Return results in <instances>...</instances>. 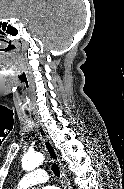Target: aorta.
Here are the masks:
<instances>
[{"mask_svg":"<svg viewBox=\"0 0 124 189\" xmlns=\"http://www.w3.org/2000/svg\"><path fill=\"white\" fill-rule=\"evenodd\" d=\"M44 161L43 154L37 153H27L22 158V168L26 171L34 170L36 167L41 165Z\"/></svg>","mask_w":124,"mask_h":189,"instance_id":"aorta-1","label":"aorta"}]
</instances>
